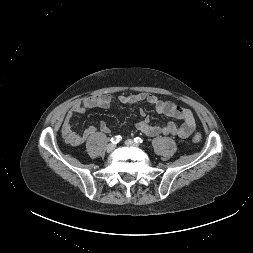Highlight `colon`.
Returning a JSON list of instances; mask_svg holds the SVG:
<instances>
[{"label":"colon","mask_w":253,"mask_h":253,"mask_svg":"<svg viewBox=\"0 0 253 253\" xmlns=\"http://www.w3.org/2000/svg\"><path fill=\"white\" fill-rule=\"evenodd\" d=\"M202 139V135L200 133H196L193 135L192 137V141L195 142V143H198L200 142Z\"/></svg>","instance_id":"obj_1"}]
</instances>
